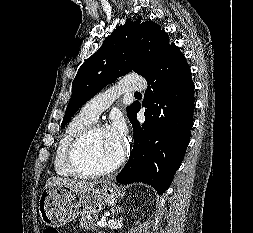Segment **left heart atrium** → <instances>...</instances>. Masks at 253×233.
<instances>
[{"mask_svg": "<svg viewBox=\"0 0 253 233\" xmlns=\"http://www.w3.org/2000/svg\"><path fill=\"white\" fill-rule=\"evenodd\" d=\"M106 129H107L108 134L116 143L120 145L124 144L126 134H127V128L122 118L120 117L115 118L112 124L108 126Z\"/></svg>", "mask_w": 253, "mask_h": 233, "instance_id": "obj_1", "label": "left heart atrium"}]
</instances>
